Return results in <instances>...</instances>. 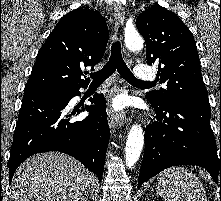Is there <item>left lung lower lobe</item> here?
<instances>
[{"label": "left lung lower lobe", "instance_id": "obj_1", "mask_svg": "<svg viewBox=\"0 0 221 201\" xmlns=\"http://www.w3.org/2000/svg\"><path fill=\"white\" fill-rule=\"evenodd\" d=\"M147 99L155 109L156 121L145 130L138 188L159 172L176 165L201 166L217 184L220 178L221 185V144L219 155L210 126V105L193 102L159 105Z\"/></svg>", "mask_w": 221, "mask_h": 201}]
</instances>
